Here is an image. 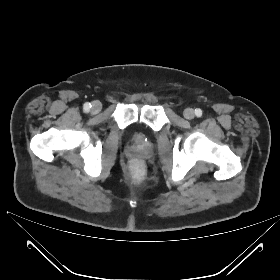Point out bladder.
<instances>
[{"instance_id":"obj_1","label":"bladder","mask_w":280,"mask_h":280,"mask_svg":"<svg viewBox=\"0 0 280 280\" xmlns=\"http://www.w3.org/2000/svg\"><path fill=\"white\" fill-rule=\"evenodd\" d=\"M132 137L138 143H143L147 139V135L142 131H134Z\"/></svg>"}]
</instances>
